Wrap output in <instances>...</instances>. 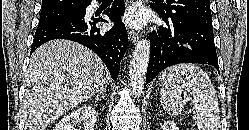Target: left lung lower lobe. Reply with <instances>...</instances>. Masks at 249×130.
<instances>
[{"label": "left lung lower lobe", "instance_id": "1", "mask_svg": "<svg viewBox=\"0 0 249 130\" xmlns=\"http://www.w3.org/2000/svg\"><path fill=\"white\" fill-rule=\"evenodd\" d=\"M159 16L166 27L150 34L151 52L146 84L165 68L180 63L208 64L219 70L212 27Z\"/></svg>", "mask_w": 249, "mask_h": 130}]
</instances>
